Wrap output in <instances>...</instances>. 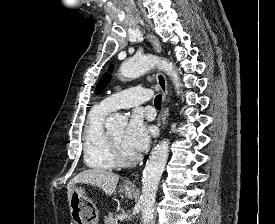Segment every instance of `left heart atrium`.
<instances>
[{"label": "left heart atrium", "mask_w": 275, "mask_h": 224, "mask_svg": "<svg viewBox=\"0 0 275 224\" xmlns=\"http://www.w3.org/2000/svg\"><path fill=\"white\" fill-rule=\"evenodd\" d=\"M150 142L149 129L142 117L134 114L124 130L123 145L132 154L144 151Z\"/></svg>", "instance_id": "obj_1"}]
</instances>
